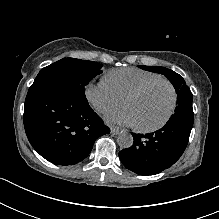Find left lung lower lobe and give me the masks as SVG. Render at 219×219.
<instances>
[{
	"label": "left lung lower lobe",
	"mask_w": 219,
	"mask_h": 219,
	"mask_svg": "<svg viewBox=\"0 0 219 219\" xmlns=\"http://www.w3.org/2000/svg\"><path fill=\"white\" fill-rule=\"evenodd\" d=\"M193 117H171L159 130L133 135V145L119 152L122 164L139 175H155L171 167L188 144Z\"/></svg>",
	"instance_id": "left-lung-lower-lobe-1"
}]
</instances>
